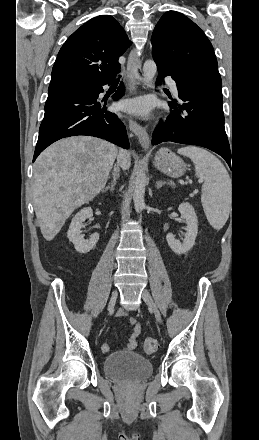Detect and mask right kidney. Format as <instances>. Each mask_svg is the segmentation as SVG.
<instances>
[{
	"label": "right kidney",
	"mask_w": 259,
	"mask_h": 440,
	"mask_svg": "<svg viewBox=\"0 0 259 440\" xmlns=\"http://www.w3.org/2000/svg\"><path fill=\"white\" fill-rule=\"evenodd\" d=\"M93 216V211L91 207H86L81 209L75 217L72 219L67 232V237L70 242L74 244L77 252L81 254H86L91 251L99 240V234L94 233L89 239L85 240L81 235V228L83 227V222L86 219H91Z\"/></svg>",
	"instance_id": "obj_1"
}]
</instances>
